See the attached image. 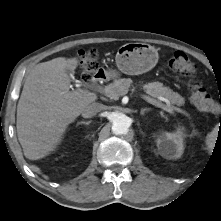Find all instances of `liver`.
<instances>
[{"label":"liver","instance_id":"liver-1","mask_svg":"<svg viewBox=\"0 0 221 221\" xmlns=\"http://www.w3.org/2000/svg\"><path fill=\"white\" fill-rule=\"evenodd\" d=\"M78 59L58 57L34 66L26 76L17 105L18 140L26 158L38 160L53 152L68 125L97 99L88 90L70 91Z\"/></svg>","mask_w":221,"mask_h":221}]
</instances>
